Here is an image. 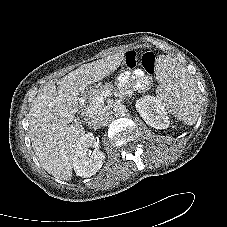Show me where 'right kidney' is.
Wrapping results in <instances>:
<instances>
[{
    "instance_id": "right-kidney-1",
    "label": "right kidney",
    "mask_w": 227,
    "mask_h": 227,
    "mask_svg": "<svg viewBox=\"0 0 227 227\" xmlns=\"http://www.w3.org/2000/svg\"><path fill=\"white\" fill-rule=\"evenodd\" d=\"M95 148L91 151L89 148ZM105 154L99 150V139L92 133H86L78 143L73 158V167L77 176L83 178L96 174L103 165Z\"/></svg>"
}]
</instances>
